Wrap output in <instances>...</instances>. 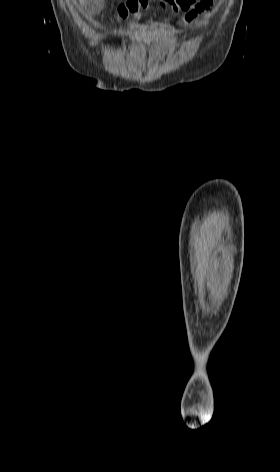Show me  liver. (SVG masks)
Wrapping results in <instances>:
<instances>
[{
	"mask_svg": "<svg viewBox=\"0 0 280 472\" xmlns=\"http://www.w3.org/2000/svg\"><path fill=\"white\" fill-rule=\"evenodd\" d=\"M80 3H81L82 5H84V4H86V0H80Z\"/></svg>",
	"mask_w": 280,
	"mask_h": 472,
	"instance_id": "liver-1",
	"label": "liver"
}]
</instances>
